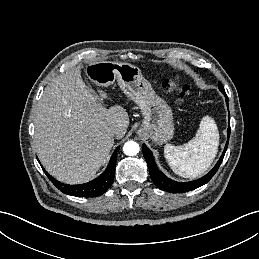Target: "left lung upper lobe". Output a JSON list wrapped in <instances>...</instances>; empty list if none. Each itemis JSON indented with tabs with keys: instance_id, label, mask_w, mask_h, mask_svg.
Masks as SVG:
<instances>
[{
	"instance_id": "left-lung-upper-lobe-1",
	"label": "left lung upper lobe",
	"mask_w": 259,
	"mask_h": 259,
	"mask_svg": "<svg viewBox=\"0 0 259 259\" xmlns=\"http://www.w3.org/2000/svg\"><path fill=\"white\" fill-rule=\"evenodd\" d=\"M219 89H220V91L222 92V93H224L225 92V90H224V87L222 86V84L219 82Z\"/></svg>"
}]
</instances>
